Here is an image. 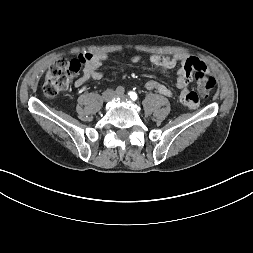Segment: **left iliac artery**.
I'll list each match as a JSON object with an SVG mask.
<instances>
[{"label":"left iliac artery","instance_id":"44dca946","mask_svg":"<svg viewBox=\"0 0 253 253\" xmlns=\"http://www.w3.org/2000/svg\"><path fill=\"white\" fill-rule=\"evenodd\" d=\"M129 97L132 99V100H136L137 99V94L135 92H129L128 93Z\"/></svg>","mask_w":253,"mask_h":253}]
</instances>
